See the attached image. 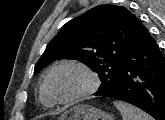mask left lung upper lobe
<instances>
[{"mask_svg":"<svg viewBox=\"0 0 165 120\" xmlns=\"http://www.w3.org/2000/svg\"><path fill=\"white\" fill-rule=\"evenodd\" d=\"M146 27L125 7L99 5L67 22L35 65L38 73L57 59H73L98 73L104 96L120 83L125 56Z\"/></svg>","mask_w":165,"mask_h":120,"instance_id":"1","label":"left lung upper lobe"}]
</instances>
